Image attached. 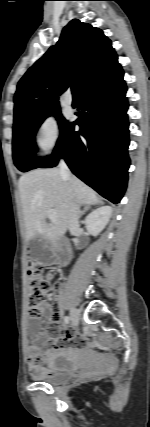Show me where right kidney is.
Masks as SVG:
<instances>
[{
  "label": "right kidney",
  "instance_id": "right-kidney-1",
  "mask_svg": "<svg viewBox=\"0 0 150 427\" xmlns=\"http://www.w3.org/2000/svg\"><path fill=\"white\" fill-rule=\"evenodd\" d=\"M112 215L110 206H102L91 212L85 219L87 231L97 236L106 227Z\"/></svg>",
  "mask_w": 150,
  "mask_h": 427
}]
</instances>
